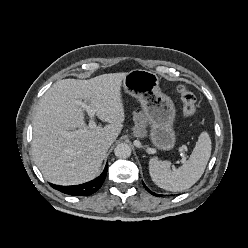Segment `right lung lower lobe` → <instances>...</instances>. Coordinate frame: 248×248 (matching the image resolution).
I'll list each match as a JSON object with an SVG mask.
<instances>
[{
	"mask_svg": "<svg viewBox=\"0 0 248 248\" xmlns=\"http://www.w3.org/2000/svg\"><path fill=\"white\" fill-rule=\"evenodd\" d=\"M107 169H108V164L106 165L104 171L99 177L84 184L74 185V186H59V185H54V184H50V185L54 189H57L68 195L88 196L100 189V187L102 186L105 180Z\"/></svg>",
	"mask_w": 248,
	"mask_h": 248,
	"instance_id": "obj_1",
	"label": "right lung lower lobe"
}]
</instances>
